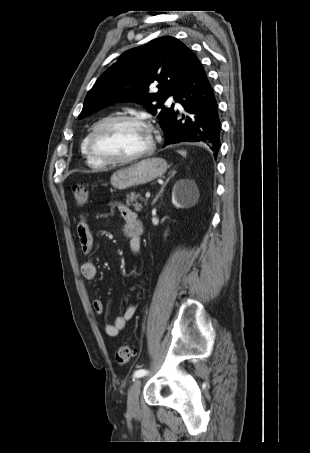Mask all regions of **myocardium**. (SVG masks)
I'll list each match as a JSON object with an SVG mask.
<instances>
[{
    "mask_svg": "<svg viewBox=\"0 0 310 453\" xmlns=\"http://www.w3.org/2000/svg\"><path fill=\"white\" fill-rule=\"evenodd\" d=\"M119 122H129V123H134V124L144 127L148 131L149 138H150L148 147L132 156L125 157V158H113V157H109V156L104 155L101 152H99L96 147L97 135L104 129L112 126L113 124L119 123ZM152 132H153V130H152L151 125L144 118H142L140 116H136V115L111 116V117L101 120L94 126V128L90 132V135L88 138V148H89V151L92 154V156L95 159L99 160L100 162H103L105 164H113V165L128 164V163H132L137 160H140L141 158H144V157L152 154V152L155 149V140H154Z\"/></svg>",
    "mask_w": 310,
    "mask_h": 453,
    "instance_id": "obj_1",
    "label": "myocardium"
}]
</instances>
